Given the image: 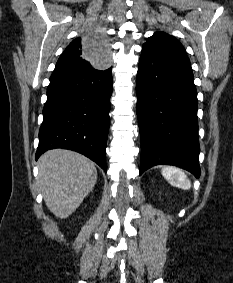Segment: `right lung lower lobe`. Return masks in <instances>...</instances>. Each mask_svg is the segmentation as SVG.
Instances as JSON below:
<instances>
[{
	"instance_id": "right-lung-lower-lobe-1",
	"label": "right lung lower lobe",
	"mask_w": 233,
	"mask_h": 283,
	"mask_svg": "<svg viewBox=\"0 0 233 283\" xmlns=\"http://www.w3.org/2000/svg\"><path fill=\"white\" fill-rule=\"evenodd\" d=\"M111 68L54 70L43 108L36 160L49 149L77 151L105 171L110 124Z\"/></svg>"
}]
</instances>
